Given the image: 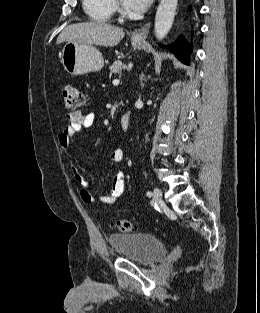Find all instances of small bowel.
I'll return each instance as SVG.
<instances>
[{
    "instance_id": "1",
    "label": "small bowel",
    "mask_w": 260,
    "mask_h": 313,
    "mask_svg": "<svg viewBox=\"0 0 260 313\" xmlns=\"http://www.w3.org/2000/svg\"><path fill=\"white\" fill-rule=\"evenodd\" d=\"M68 124L62 129L57 136L58 145L63 149H68L71 139L83 132L85 129L92 127L96 123V116L94 113H83L75 111L67 114ZM109 159L113 163H120L124 160L123 149L114 150ZM71 170L76 183L81 187L80 197L86 204H94L97 201L102 204L115 203L124 193L125 190V175L123 172H118L113 180L111 192L100 197L98 200L91 193L88 183L81 174L78 166L71 161Z\"/></svg>"
}]
</instances>
